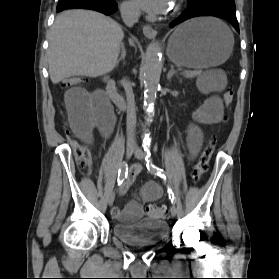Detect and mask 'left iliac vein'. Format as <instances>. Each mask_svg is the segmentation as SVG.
<instances>
[{
  "instance_id": "1",
  "label": "left iliac vein",
  "mask_w": 279,
  "mask_h": 279,
  "mask_svg": "<svg viewBox=\"0 0 279 279\" xmlns=\"http://www.w3.org/2000/svg\"><path fill=\"white\" fill-rule=\"evenodd\" d=\"M134 155H135V157H136L137 159H140V160H144V158H145V154H144L143 151L140 150V149H136V150L134 151ZM170 213H171V215H172L173 217L176 216V214H177V208H176L175 205H171V207H170Z\"/></svg>"
}]
</instances>
